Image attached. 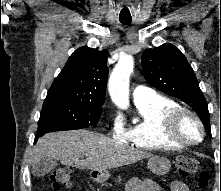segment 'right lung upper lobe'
<instances>
[{
  "mask_svg": "<svg viewBox=\"0 0 221 191\" xmlns=\"http://www.w3.org/2000/svg\"><path fill=\"white\" fill-rule=\"evenodd\" d=\"M106 49L78 48L48 90L43 105L85 103L102 106L108 68Z\"/></svg>",
  "mask_w": 221,
  "mask_h": 191,
  "instance_id": "1",
  "label": "right lung upper lobe"
}]
</instances>
